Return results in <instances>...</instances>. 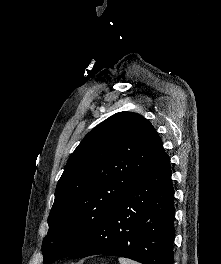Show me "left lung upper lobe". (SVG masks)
Here are the masks:
<instances>
[{"label":"left lung upper lobe","instance_id":"1","mask_svg":"<svg viewBox=\"0 0 221 264\" xmlns=\"http://www.w3.org/2000/svg\"><path fill=\"white\" fill-rule=\"evenodd\" d=\"M165 153L151 123L119 112L92 129L69 157L55 190L44 264L81 246L116 203Z\"/></svg>","mask_w":221,"mask_h":264}]
</instances>
